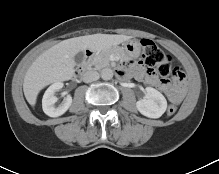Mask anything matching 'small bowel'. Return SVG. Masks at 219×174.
I'll list each match as a JSON object with an SVG mask.
<instances>
[{
    "label": "small bowel",
    "instance_id": "1",
    "mask_svg": "<svg viewBox=\"0 0 219 174\" xmlns=\"http://www.w3.org/2000/svg\"><path fill=\"white\" fill-rule=\"evenodd\" d=\"M120 73H124L123 69L120 68ZM127 74H133L138 79H144L148 84L157 86L163 89L170 100L176 103H179L186 92V84L185 82H179L178 80H174L172 83L160 80L153 73H145L141 67H135L129 65L126 67Z\"/></svg>",
    "mask_w": 219,
    "mask_h": 174
}]
</instances>
